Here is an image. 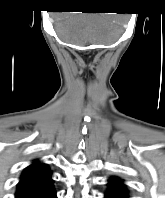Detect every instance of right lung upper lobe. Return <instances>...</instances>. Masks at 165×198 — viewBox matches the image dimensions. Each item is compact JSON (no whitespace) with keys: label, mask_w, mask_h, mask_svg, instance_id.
Listing matches in <instances>:
<instances>
[{"label":"right lung upper lobe","mask_w":165,"mask_h":198,"mask_svg":"<svg viewBox=\"0 0 165 198\" xmlns=\"http://www.w3.org/2000/svg\"><path fill=\"white\" fill-rule=\"evenodd\" d=\"M53 187V180L49 168L40 162L28 166L18 183L15 198H31Z\"/></svg>","instance_id":"cb5924a9"}]
</instances>
